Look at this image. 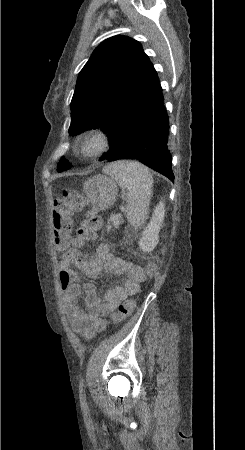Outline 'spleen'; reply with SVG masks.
Instances as JSON below:
<instances>
[{
    "label": "spleen",
    "mask_w": 245,
    "mask_h": 450,
    "mask_svg": "<svg viewBox=\"0 0 245 450\" xmlns=\"http://www.w3.org/2000/svg\"><path fill=\"white\" fill-rule=\"evenodd\" d=\"M103 171L112 176L122 188V198L128 202V222L135 229L139 228L147 219L152 195L153 178L149 169L136 161H118L108 165Z\"/></svg>",
    "instance_id": "spleen-1"
}]
</instances>
